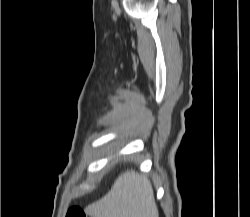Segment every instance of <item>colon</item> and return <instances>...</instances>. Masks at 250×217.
<instances>
[{
	"mask_svg": "<svg viewBox=\"0 0 250 217\" xmlns=\"http://www.w3.org/2000/svg\"><path fill=\"white\" fill-rule=\"evenodd\" d=\"M66 217H87L84 210L80 207H71L67 213Z\"/></svg>",
	"mask_w": 250,
	"mask_h": 217,
	"instance_id": "5ec220e1",
	"label": "colon"
}]
</instances>
